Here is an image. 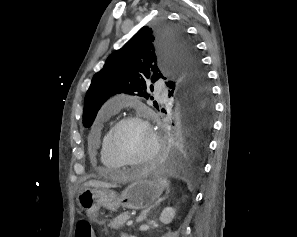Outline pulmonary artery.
<instances>
[{
	"instance_id": "obj_1",
	"label": "pulmonary artery",
	"mask_w": 297,
	"mask_h": 237,
	"mask_svg": "<svg viewBox=\"0 0 297 237\" xmlns=\"http://www.w3.org/2000/svg\"><path fill=\"white\" fill-rule=\"evenodd\" d=\"M163 84H157V91L161 92L163 90ZM125 103V99L123 97H114L110 99L105 106L106 111H116Z\"/></svg>"
}]
</instances>
